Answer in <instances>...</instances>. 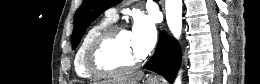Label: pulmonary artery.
Returning <instances> with one entry per match:
<instances>
[{"label":"pulmonary artery","instance_id":"e3ab8cb5","mask_svg":"<svg viewBox=\"0 0 260 84\" xmlns=\"http://www.w3.org/2000/svg\"><path fill=\"white\" fill-rule=\"evenodd\" d=\"M118 15V8H110L106 11L105 16L109 19V20H115L117 18Z\"/></svg>","mask_w":260,"mask_h":84}]
</instances>
